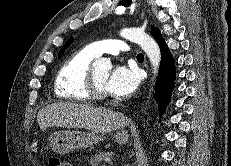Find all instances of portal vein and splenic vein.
<instances>
[{
  "mask_svg": "<svg viewBox=\"0 0 231 166\" xmlns=\"http://www.w3.org/2000/svg\"><path fill=\"white\" fill-rule=\"evenodd\" d=\"M104 161H105L106 163H110V158L107 157V158L104 159Z\"/></svg>",
  "mask_w": 231,
  "mask_h": 166,
  "instance_id": "1",
  "label": "portal vein and splenic vein"
}]
</instances>
